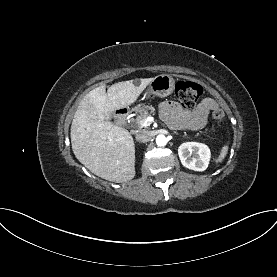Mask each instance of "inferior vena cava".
I'll return each mask as SVG.
<instances>
[{
  "label": "inferior vena cava",
  "instance_id": "1",
  "mask_svg": "<svg viewBox=\"0 0 277 277\" xmlns=\"http://www.w3.org/2000/svg\"><path fill=\"white\" fill-rule=\"evenodd\" d=\"M136 140L138 142H148L150 139H151V136L149 134L148 131H139L137 134H136Z\"/></svg>",
  "mask_w": 277,
  "mask_h": 277
}]
</instances>
